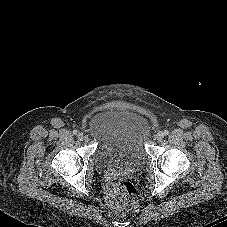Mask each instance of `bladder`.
Segmentation results:
<instances>
[{"mask_svg": "<svg viewBox=\"0 0 227 227\" xmlns=\"http://www.w3.org/2000/svg\"><path fill=\"white\" fill-rule=\"evenodd\" d=\"M146 128L145 115L130 108L108 107L94 113L87 130L96 138L98 167L105 172L139 165L145 157Z\"/></svg>", "mask_w": 227, "mask_h": 227, "instance_id": "1", "label": "bladder"}]
</instances>
